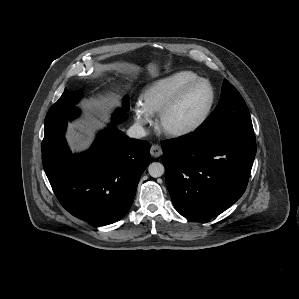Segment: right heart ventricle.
Returning a JSON list of instances; mask_svg holds the SVG:
<instances>
[{
	"mask_svg": "<svg viewBox=\"0 0 299 299\" xmlns=\"http://www.w3.org/2000/svg\"><path fill=\"white\" fill-rule=\"evenodd\" d=\"M199 76L190 71H180L159 79L149 85L140 96V104L150 113H159L161 108L186 84Z\"/></svg>",
	"mask_w": 299,
	"mask_h": 299,
	"instance_id": "e07e8e85",
	"label": "right heart ventricle"
}]
</instances>
